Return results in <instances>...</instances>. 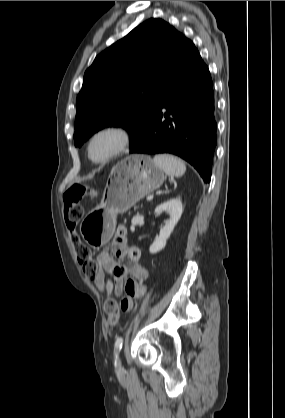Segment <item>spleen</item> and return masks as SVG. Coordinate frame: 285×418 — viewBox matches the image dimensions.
<instances>
[{"label": "spleen", "instance_id": "3e777b00", "mask_svg": "<svg viewBox=\"0 0 285 418\" xmlns=\"http://www.w3.org/2000/svg\"><path fill=\"white\" fill-rule=\"evenodd\" d=\"M153 162L169 176L180 177L186 171L185 163L169 154H157L154 156Z\"/></svg>", "mask_w": 285, "mask_h": 418}]
</instances>
